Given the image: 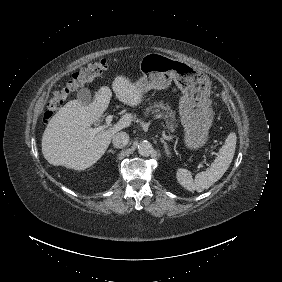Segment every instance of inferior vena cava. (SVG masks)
<instances>
[{
    "label": "inferior vena cava",
    "instance_id": "1",
    "mask_svg": "<svg viewBox=\"0 0 282 282\" xmlns=\"http://www.w3.org/2000/svg\"><path fill=\"white\" fill-rule=\"evenodd\" d=\"M129 142V135L126 132H118L113 136V145L116 148H123Z\"/></svg>",
    "mask_w": 282,
    "mask_h": 282
}]
</instances>
